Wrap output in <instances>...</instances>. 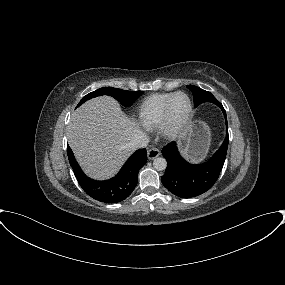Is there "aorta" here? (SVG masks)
Instances as JSON below:
<instances>
[{"mask_svg": "<svg viewBox=\"0 0 285 285\" xmlns=\"http://www.w3.org/2000/svg\"><path fill=\"white\" fill-rule=\"evenodd\" d=\"M153 166L157 171H163L166 169L167 162L163 157H157L153 161Z\"/></svg>", "mask_w": 285, "mask_h": 285, "instance_id": "1", "label": "aorta"}]
</instances>
